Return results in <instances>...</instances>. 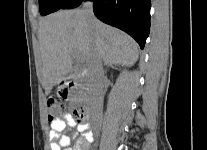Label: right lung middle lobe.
Returning <instances> with one entry per match:
<instances>
[{
    "mask_svg": "<svg viewBox=\"0 0 207 150\" xmlns=\"http://www.w3.org/2000/svg\"><path fill=\"white\" fill-rule=\"evenodd\" d=\"M63 0H39V8L41 15H47L55 12L66 3Z\"/></svg>",
    "mask_w": 207,
    "mask_h": 150,
    "instance_id": "dd1d6c3e",
    "label": "right lung middle lobe"
}]
</instances>
